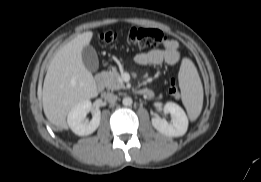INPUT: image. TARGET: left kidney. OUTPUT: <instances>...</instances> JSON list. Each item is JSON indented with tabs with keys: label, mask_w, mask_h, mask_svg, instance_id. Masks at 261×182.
<instances>
[{
	"label": "left kidney",
	"mask_w": 261,
	"mask_h": 182,
	"mask_svg": "<svg viewBox=\"0 0 261 182\" xmlns=\"http://www.w3.org/2000/svg\"><path fill=\"white\" fill-rule=\"evenodd\" d=\"M165 113H170L172 119L167 122L158 116L152 118L153 127L160 133L170 136H183L188 128V118L184 110L176 103L167 102L163 108Z\"/></svg>",
	"instance_id": "1"
}]
</instances>
